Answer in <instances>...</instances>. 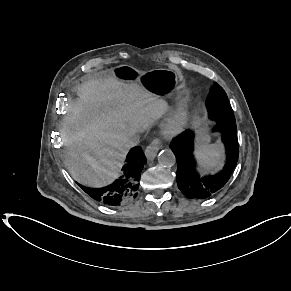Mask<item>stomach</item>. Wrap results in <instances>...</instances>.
Here are the masks:
<instances>
[{
  "label": "stomach",
  "instance_id": "1",
  "mask_svg": "<svg viewBox=\"0 0 291 291\" xmlns=\"http://www.w3.org/2000/svg\"><path fill=\"white\" fill-rule=\"evenodd\" d=\"M113 71L118 78L128 82H138L144 89L158 97H167L174 101H181L183 98L182 77L179 71L160 68L142 72L128 66H121ZM193 125L194 127H200L199 120H195ZM209 141L207 127H200L196 140L197 145L200 147L206 145Z\"/></svg>",
  "mask_w": 291,
  "mask_h": 291
}]
</instances>
